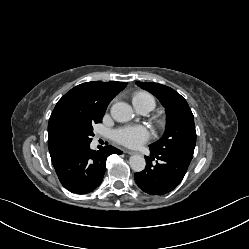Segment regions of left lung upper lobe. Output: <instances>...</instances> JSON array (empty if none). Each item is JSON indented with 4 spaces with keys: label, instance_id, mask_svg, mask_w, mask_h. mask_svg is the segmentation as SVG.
<instances>
[{
    "label": "left lung upper lobe",
    "instance_id": "left-lung-upper-lobe-1",
    "mask_svg": "<svg viewBox=\"0 0 249 249\" xmlns=\"http://www.w3.org/2000/svg\"><path fill=\"white\" fill-rule=\"evenodd\" d=\"M152 93L165 107L167 125L164 135L150 149L162 153L180 154L193 157L196 131L193 113L186 100L175 90L153 82H136Z\"/></svg>",
    "mask_w": 249,
    "mask_h": 249
}]
</instances>
